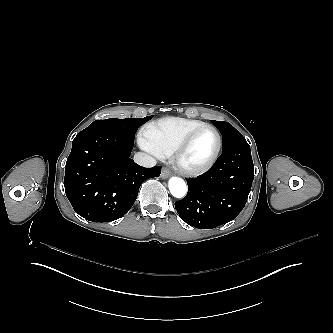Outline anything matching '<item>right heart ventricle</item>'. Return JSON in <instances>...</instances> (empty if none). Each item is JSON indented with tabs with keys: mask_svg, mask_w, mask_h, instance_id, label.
Returning a JSON list of instances; mask_svg holds the SVG:
<instances>
[{
	"mask_svg": "<svg viewBox=\"0 0 333 333\" xmlns=\"http://www.w3.org/2000/svg\"><path fill=\"white\" fill-rule=\"evenodd\" d=\"M204 124L201 120L180 117L151 122L141 128L138 143L159 157H169L186 133Z\"/></svg>",
	"mask_w": 333,
	"mask_h": 333,
	"instance_id": "e07e8e85",
	"label": "right heart ventricle"
}]
</instances>
